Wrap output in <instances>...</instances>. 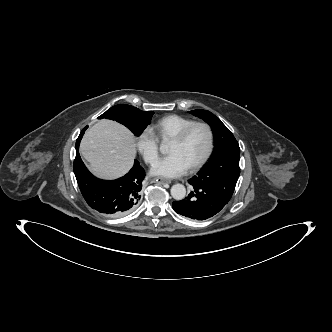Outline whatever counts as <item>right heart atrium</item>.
<instances>
[{
    "label": "right heart atrium",
    "mask_w": 332,
    "mask_h": 332,
    "mask_svg": "<svg viewBox=\"0 0 332 332\" xmlns=\"http://www.w3.org/2000/svg\"><path fill=\"white\" fill-rule=\"evenodd\" d=\"M137 148L147 164H154L158 157V139L150 128L140 132L137 138Z\"/></svg>",
    "instance_id": "1"
}]
</instances>
